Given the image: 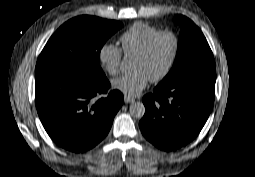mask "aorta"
<instances>
[{"label": "aorta", "instance_id": "1", "mask_svg": "<svg viewBox=\"0 0 255 177\" xmlns=\"http://www.w3.org/2000/svg\"><path fill=\"white\" fill-rule=\"evenodd\" d=\"M126 60L124 59V63ZM129 112L132 117L141 119L145 114V106L142 102H133L129 107Z\"/></svg>", "mask_w": 255, "mask_h": 177}]
</instances>
